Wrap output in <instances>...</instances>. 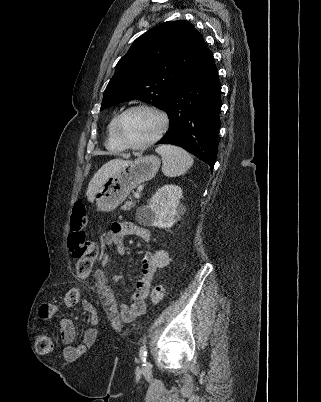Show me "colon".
Wrapping results in <instances>:
<instances>
[{
  "label": "colon",
  "mask_w": 321,
  "mask_h": 402,
  "mask_svg": "<svg viewBox=\"0 0 321 402\" xmlns=\"http://www.w3.org/2000/svg\"><path fill=\"white\" fill-rule=\"evenodd\" d=\"M87 225V208L83 202H78L72 209L70 215V232L67 237V247L76 260L77 275L85 279L92 271L97 258V245L88 240L85 228ZM80 286H75L64 294V303L68 307L75 306L79 301ZM165 295L163 284L153 287L150 298L153 303H159ZM56 340L49 334H40L36 340V349L39 353H49L53 351Z\"/></svg>",
  "instance_id": "colon-1"
}]
</instances>
